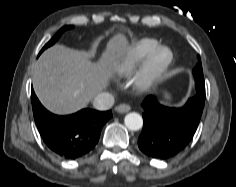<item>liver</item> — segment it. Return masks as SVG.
<instances>
[{
    "label": "liver",
    "instance_id": "obj_1",
    "mask_svg": "<svg viewBox=\"0 0 236 187\" xmlns=\"http://www.w3.org/2000/svg\"><path fill=\"white\" fill-rule=\"evenodd\" d=\"M128 48L126 36L115 35L99 63L91 62L87 52L63 45L48 48L34 65L32 80L36 96L52 113L77 112L107 87L116 60Z\"/></svg>",
    "mask_w": 236,
    "mask_h": 187
}]
</instances>
